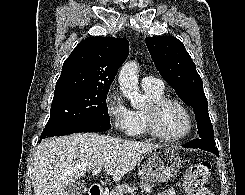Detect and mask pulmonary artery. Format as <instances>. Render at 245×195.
<instances>
[{
  "mask_svg": "<svg viewBox=\"0 0 245 195\" xmlns=\"http://www.w3.org/2000/svg\"><path fill=\"white\" fill-rule=\"evenodd\" d=\"M141 87L144 90H163L164 83L161 79L153 76H146L141 80Z\"/></svg>",
  "mask_w": 245,
  "mask_h": 195,
  "instance_id": "obj_1",
  "label": "pulmonary artery"
}]
</instances>
